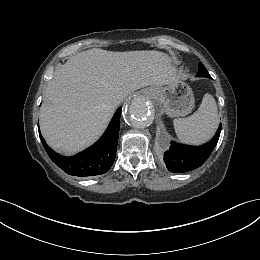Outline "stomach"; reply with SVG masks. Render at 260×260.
Listing matches in <instances>:
<instances>
[{
	"instance_id": "stomach-1",
	"label": "stomach",
	"mask_w": 260,
	"mask_h": 260,
	"mask_svg": "<svg viewBox=\"0 0 260 260\" xmlns=\"http://www.w3.org/2000/svg\"><path fill=\"white\" fill-rule=\"evenodd\" d=\"M149 97L162 105L170 117H182L194 108V94L191 87L178 79L165 87L156 86L148 89Z\"/></svg>"
}]
</instances>
